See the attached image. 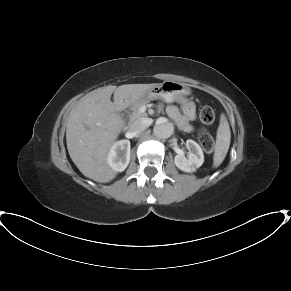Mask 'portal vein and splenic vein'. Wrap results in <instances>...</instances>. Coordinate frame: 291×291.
<instances>
[{
    "mask_svg": "<svg viewBox=\"0 0 291 291\" xmlns=\"http://www.w3.org/2000/svg\"><path fill=\"white\" fill-rule=\"evenodd\" d=\"M145 110H146V107H145V106H142V107L140 108V112H141V113L145 112Z\"/></svg>",
    "mask_w": 291,
    "mask_h": 291,
    "instance_id": "obj_1",
    "label": "portal vein and splenic vein"
}]
</instances>
